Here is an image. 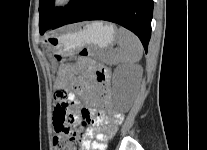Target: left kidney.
I'll return each instance as SVG.
<instances>
[{"instance_id": "5707ae66", "label": "left kidney", "mask_w": 207, "mask_h": 150, "mask_svg": "<svg viewBox=\"0 0 207 150\" xmlns=\"http://www.w3.org/2000/svg\"><path fill=\"white\" fill-rule=\"evenodd\" d=\"M142 68L139 65L117 66L112 79L113 101L117 110L126 113L139 90Z\"/></svg>"}]
</instances>
